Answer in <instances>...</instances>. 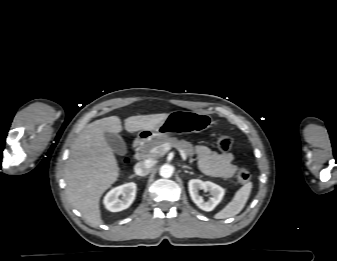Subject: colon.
<instances>
[{"mask_svg": "<svg viewBox=\"0 0 337 261\" xmlns=\"http://www.w3.org/2000/svg\"><path fill=\"white\" fill-rule=\"evenodd\" d=\"M216 146L221 150V151H228L232 147V139L227 136V135H215L214 136ZM251 175L248 171L242 169L238 171L236 175V180L239 184H246L250 181Z\"/></svg>", "mask_w": 337, "mask_h": 261, "instance_id": "colon-1", "label": "colon"}]
</instances>
